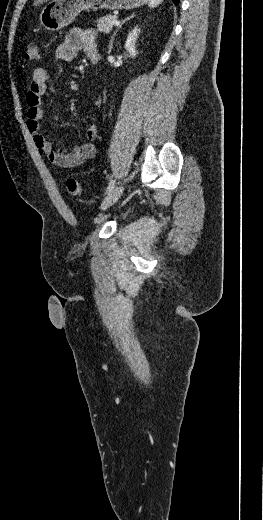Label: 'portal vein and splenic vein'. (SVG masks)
I'll list each match as a JSON object with an SVG mask.
<instances>
[{
	"instance_id": "portal-vein-and-splenic-vein-1",
	"label": "portal vein and splenic vein",
	"mask_w": 263,
	"mask_h": 520,
	"mask_svg": "<svg viewBox=\"0 0 263 520\" xmlns=\"http://www.w3.org/2000/svg\"><path fill=\"white\" fill-rule=\"evenodd\" d=\"M113 24L116 25V26H118V25L120 24V21H118V20H114V21H113Z\"/></svg>"
}]
</instances>
